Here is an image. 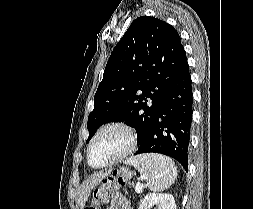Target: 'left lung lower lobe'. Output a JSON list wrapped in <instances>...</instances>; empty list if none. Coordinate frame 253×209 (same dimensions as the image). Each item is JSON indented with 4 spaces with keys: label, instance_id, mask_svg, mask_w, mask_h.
Segmentation results:
<instances>
[{
    "label": "left lung lower lobe",
    "instance_id": "left-lung-lower-lobe-1",
    "mask_svg": "<svg viewBox=\"0 0 253 209\" xmlns=\"http://www.w3.org/2000/svg\"><path fill=\"white\" fill-rule=\"evenodd\" d=\"M187 59L164 97L162 108L135 155L160 153L176 159L188 171L193 93Z\"/></svg>",
    "mask_w": 253,
    "mask_h": 209
}]
</instances>
